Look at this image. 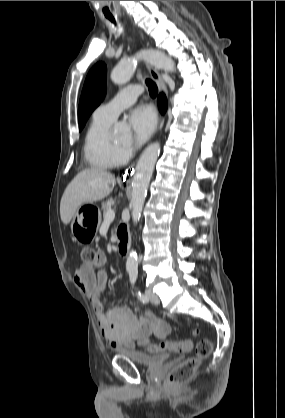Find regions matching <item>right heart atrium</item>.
<instances>
[{
  "label": "right heart atrium",
  "instance_id": "obj_1",
  "mask_svg": "<svg viewBox=\"0 0 285 418\" xmlns=\"http://www.w3.org/2000/svg\"><path fill=\"white\" fill-rule=\"evenodd\" d=\"M129 151H130V149H129L128 147H123V148L121 149V153H122L123 155L127 154Z\"/></svg>",
  "mask_w": 285,
  "mask_h": 418
}]
</instances>
